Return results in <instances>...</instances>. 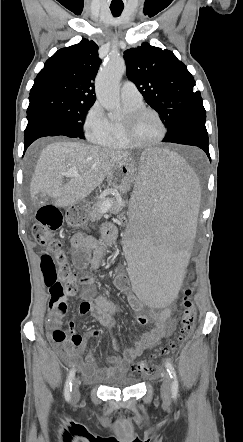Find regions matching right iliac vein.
<instances>
[{"mask_svg": "<svg viewBox=\"0 0 243 442\" xmlns=\"http://www.w3.org/2000/svg\"><path fill=\"white\" fill-rule=\"evenodd\" d=\"M80 379L76 378L73 382L72 394L75 402H78L80 399V391H79Z\"/></svg>", "mask_w": 243, "mask_h": 442, "instance_id": "63e3f726", "label": "right iliac vein"}]
</instances>
